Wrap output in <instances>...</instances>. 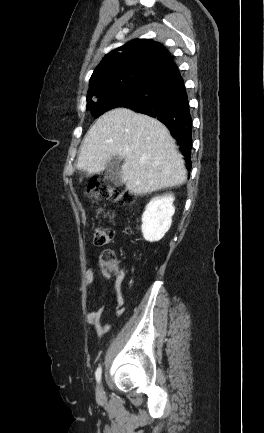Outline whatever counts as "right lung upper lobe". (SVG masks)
<instances>
[{
    "label": "right lung upper lobe",
    "mask_w": 264,
    "mask_h": 433,
    "mask_svg": "<svg viewBox=\"0 0 264 433\" xmlns=\"http://www.w3.org/2000/svg\"><path fill=\"white\" fill-rule=\"evenodd\" d=\"M170 57L168 50L153 40L136 39L126 43L107 54L96 67L87 99L143 84Z\"/></svg>",
    "instance_id": "right-lung-upper-lobe-1"
}]
</instances>
